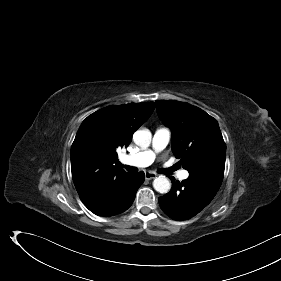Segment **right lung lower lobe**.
Here are the masks:
<instances>
[{"mask_svg": "<svg viewBox=\"0 0 281 281\" xmlns=\"http://www.w3.org/2000/svg\"><path fill=\"white\" fill-rule=\"evenodd\" d=\"M144 182V173H128L100 197L84 203L94 214L112 216L127 210L135 199L136 192Z\"/></svg>", "mask_w": 281, "mask_h": 281, "instance_id": "1", "label": "right lung lower lobe"}]
</instances>
